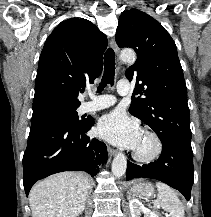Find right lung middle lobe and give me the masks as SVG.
Masks as SVG:
<instances>
[{"instance_id": "right-lung-middle-lobe-1", "label": "right lung middle lobe", "mask_w": 211, "mask_h": 217, "mask_svg": "<svg viewBox=\"0 0 211 217\" xmlns=\"http://www.w3.org/2000/svg\"><path fill=\"white\" fill-rule=\"evenodd\" d=\"M84 120H79L76 109L57 111L45 114L41 117L31 119L32 124L57 123L68 126H79Z\"/></svg>"}]
</instances>
